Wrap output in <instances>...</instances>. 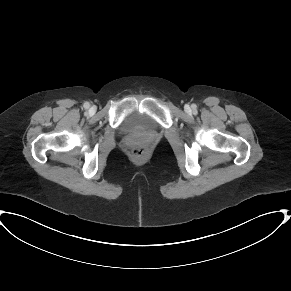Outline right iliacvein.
<instances>
[{
    "label": "right iliac vein",
    "mask_w": 291,
    "mask_h": 291,
    "mask_svg": "<svg viewBox=\"0 0 291 291\" xmlns=\"http://www.w3.org/2000/svg\"><path fill=\"white\" fill-rule=\"evenodd\" d=\"M89 111H90V113H91V112H94V108H91Z\"/></svg>",
    "instance_id": "63e3f726"
}]
</instances>
